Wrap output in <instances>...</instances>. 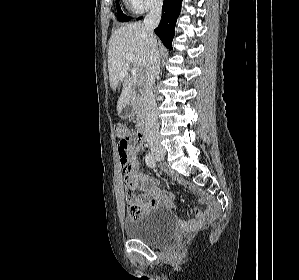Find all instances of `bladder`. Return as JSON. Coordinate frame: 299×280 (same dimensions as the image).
<instances>
[{
    "instance_id": "1",
    "label": "bladder",
    "mask_w": 299,
    "mask_h": 280,
    "mask_svg": "<svg viewBox=\"0 0 299 280\" xmlns=\"http://www.w3.org/2000/svg\"><path fill=\"white\" fill-rule=\"evenodd\" d=\"M176 223L172 213L155 209L137 219H126L123 228L127 237L151 246H159L171 239Z\"/></svg>"
}]
</instances>
